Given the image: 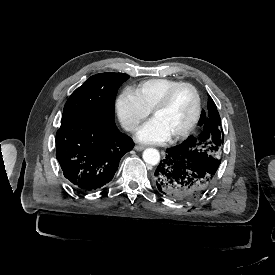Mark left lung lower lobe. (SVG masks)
<instances>
[{
  "instance_id": "0a47b994",
  "label": "left lung lower lobe",
  "mask_w": 275,
  "mask_h": 275,
  "mask_svg": "<svg viewBox=\"0 0 275 275\" xmlns=\"http://www.w3.org/2000/svg\"><path fill=\"white\" fill-rule=\"evenodd\" d=\"M166 153L153 176L156 188L163 195L176 200L193 199L213 185L215 172L185 159L171 148Z\"/></svg>"
}]
</instances>
